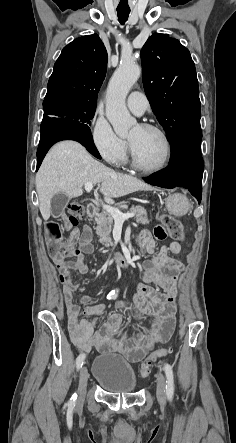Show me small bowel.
Segmentation results:
<instances>
[{"instance_id": "c3829d8e", "label": "small bowel", "mask_w": 236, "mask_h": 443, "mask_svg": "<svg viewBox=\"0 0 236 443\" xmlns=\"http://www.w3.org/2000/svg\"><path fill=\"white\" fill-rule=\"evenodd\" d=\"M74 234L76 237H71L64 247L70 249L78 245L77 260L56 262V265L66 307L69 334L75 346L83 352H90L93 348L102 352L118 351L129 360L138 361L153 346L167 342L175 330V301L178 294L175 279L182 269L179 261L169 257V251L179 253L180 245L172 243L170 248L162 246L159 252L145 263L143 279L137 285L133 302L115 304L107 322L96 331L97 319L106 308L101 304L82 306L91 302L88 296H81L77 304L74 301V294L79 289V284L73 277L74 273L84 275L89 271L84 255L94 250L91 243L92 232L90 227L85 226L81 232L73 230L72 235ZM136 243L149 252L154 249V239L148 231L141 232L136 238ZM151 283L159 285L163 292L152 288ZM123 312H130L140 320V328L123 332ZM84 315L93 316V319H84L81 317ZM133 354H137L138 359H131Z\"/></svg>"}]
</instances>
